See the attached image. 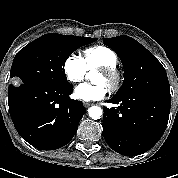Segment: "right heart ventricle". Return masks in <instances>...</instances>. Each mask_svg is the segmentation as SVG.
<instances>
[{
  "label": "right heart ventricle",
  "mask_w": 178,
  "mask_h": 178,
  "mask_svg": "<svg viewBox=\"0 0 178 178\" xmlns=\"http://www.w3.org/2000/svg\"><path fill=\"white\" fill-rule=\"evenodd\" d=\"M81 59L87 70L97 69L102 66H116L118 62L116 53L104 45L86 48Z\"/></svg>",
  "instance_id": "1"
}]
</instances>
